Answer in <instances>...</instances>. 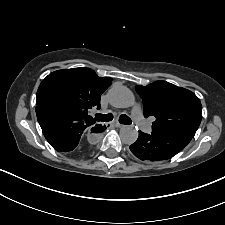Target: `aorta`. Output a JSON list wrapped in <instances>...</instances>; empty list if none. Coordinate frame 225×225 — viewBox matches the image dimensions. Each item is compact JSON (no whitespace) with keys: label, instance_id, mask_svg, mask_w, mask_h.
I'll return each mask as SVG.
<instances>
[{"label":"aorta","instance_id":"aorta-1","mask_svg":"<svg viewBox=\"0 0 225 225\" xmlns=\"http://www.w3.org/2000/svg\"><path fill=\"white\" fill-rule=\"evenodd\" d=\"M110 104L116 108H129L134 105L135 97L125 86H114L109 91ZM120 138L124 144H133L138 138V129L125 125L120 129Z\"/></svg>","mask_w":225,"mask_h":225}]
</instances>
